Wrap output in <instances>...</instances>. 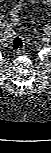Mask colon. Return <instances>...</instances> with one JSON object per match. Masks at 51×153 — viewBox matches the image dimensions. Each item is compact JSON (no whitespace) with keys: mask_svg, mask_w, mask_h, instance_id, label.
Here are the masks:
<instances>
[{"mask_svg":"<svg viewBox=\"0 0 51 153\" xmlns=\"http://www.w3.org/2000/svg\"><path fill=\"white\" fill-rule=\"evenodd\" d=\"M11 19L14 24L18 22V12L14 11L11 13ZM26 42L23 37L16 36L11 41V49L16 53H21L25 48Z\"/></svg>","mask_w":51,"mask_h":153,"instance_id":"1","label":"colon"}]
</instances>
